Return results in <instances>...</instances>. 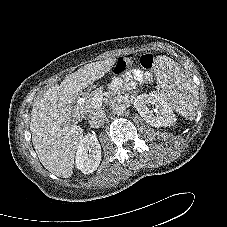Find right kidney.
<instances>
[{"instance_id": "ca27d5eb", "label": "right kidney", "mask_w": 227, "mask_h": 227, "mask_svg": "<svg viewBox=\"0 0 227 227\" xmlns=\"http://www.w3.org/2000/svg\"><path fill=\"white\" fill-rule=\"evenodd\" d=\"M101 146L95 134H86L77 146L76 166L83 174L93 173L101 161Z\"/></svg>"}]
</instances>
